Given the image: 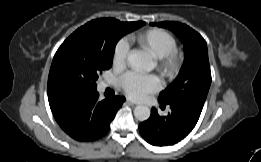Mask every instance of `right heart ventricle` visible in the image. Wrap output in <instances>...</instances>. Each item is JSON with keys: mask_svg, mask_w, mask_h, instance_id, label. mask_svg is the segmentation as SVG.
Instances as JSON below:
<instances>
[{"mask_svg": "<svg viewBox=\"0 0 261 162\" xmlns=\"http://www.w3.org/2000/svg\"><path fill=\"white\" fill-rule=\"evenodd\" d=\"M128 41L149 50L156 58H161L176 49L175 38L169 32L159 28H152L130 35Z\"/></svg>", "mask_w": 261, "mask_h": 162, "instance_id": "e07e8e85", "label": "right heart ventricle"}]
</instances>
